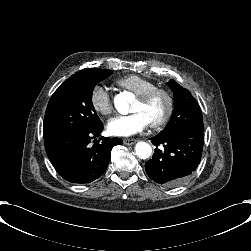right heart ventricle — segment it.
Listing matches in <instances>:
<instances>
[{"label": "right heart ventricle", "mask_w": 251, "mask_h": 251, "mask_svg": "<svg viewBox=\"0 0 251 251\" xmlns=\"http://www.w3.org/2000/svg\"><path fill=\"white\" fill-rule=\"evenodd\" d=\"M117 83L120 86L133 91L137 95H140L156 86V84L150 79L137 74L124 76L123 78H120Z\"/></svg>", "instance_id": "1"}]
</instances>
